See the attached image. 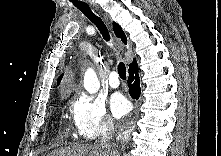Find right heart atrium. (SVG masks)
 I'll return each instance as SVG.
<instances>
[{
	"mask_svg": "<svg viewBox=\"0 0 221 156\" xmlns=\"http://www.w3.org/2000/svg\"><path fill=\"white\" fill-rule=\"evenodd\" d=\"M70 111L74 131L83 141H93L114 130V121L104 103L90 95H77L71 102Z\"/></svg>",
	"mask_w": 221,
	"mask_h": 156,
	"instance_id": "d8ad5b80",
	"label": "right heart atrium"
}]
</instances>
